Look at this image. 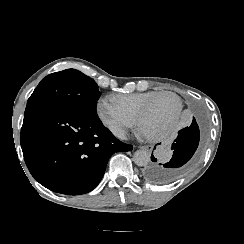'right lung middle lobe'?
I'll list each match as a JSON object with an SVG mask.
<instances>
[{
  "label": "right lung middle lobe",
  "mask_w": 244,
  "mask_h": 244,
  "mask_svg": "<svg viewBox=\"0 0 244 244\" xmlns=\"http://www.w3.org/2000/svg\"><path fill=\"white\" fill-rule=\"evenodd\" d=\"M100 94L93 79L78 70L67 69L43 78L27 104H54L97 116L96 105Z\"/></svg>",
  "instance_id": "dd1d6c3e"
}]
</instances>
